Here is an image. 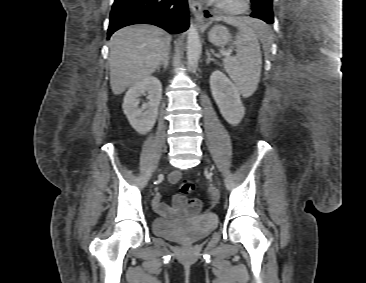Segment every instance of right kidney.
I'll list each match as a JSON object with an SVG mask.
<instances>
[{"mask_svg":"<svg viewBox=\"0 0 366 283\" xmlns=\"http://www.w3.org/2000/svg\"><path fill=\"white\" fill-rule=\"evenodd\" d=\"M146 93L148 102L139 107V97ZM161 99L162 84L154 76L145 77L126 92L122 108L130 125L138 133L146 134L153 128Z\"/></svg>","mask_w":366,"mask_h":283,"instance_id":"1","label":"right kidney"}]
</instances>
